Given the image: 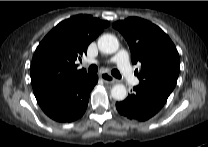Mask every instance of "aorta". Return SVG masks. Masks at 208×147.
Returning a JSON list of instances; mask_svg holds the SVG:
<instances>
[{
    "instance_id": "762f6f07",
    "label": "aorta",
    "mask_w": 208,
    "mask_h": 147,
    "mask_svg": "<svg viewBox=\"0 0 208 147\" xmlns=\"http://www.w3.org/2000/svg\"><path fill=\"white\" fill-rule=\"evenodd\" d=\"M98 48L102 53L113 54L119 49V41L112 34H103L98 39ZM111 96L118 101H122L127 97L126 87L122 84H116L111 89Z\"/></svg>"
}]
</instances>
